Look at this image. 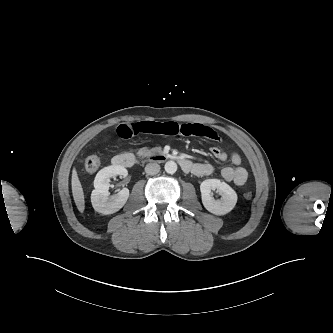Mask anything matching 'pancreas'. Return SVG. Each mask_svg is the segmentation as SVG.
Instances as JSON below:
<instances>
[{"mask_svg":"<svg viewBox=\"0 0 333 333\" xmlns=\"http://www.w3.org/2000/svg\"><path fill=\"white\" fill-rule=\"evenodd\" d=\"M141 152L145 155H151L154 152H159V150L158 149L149 150V149L145 148V149H142Z\"/></svg>","mask_w":333,"mask_h":333,"instance_id":"obj_1","label":"pancreas"}]
</instances>
